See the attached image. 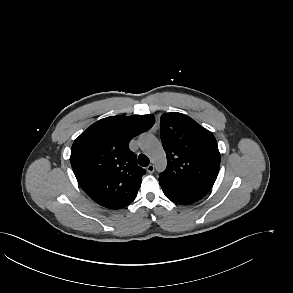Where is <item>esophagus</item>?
<instances>
[{
    "instance_id": "esophagus-1",
    "label": "esophagus",
    "mask_w": 293,
    "mask_h": 293,
    "mask_svg": "<svg viewBox=\"0 0 293 293\" xmlns=\"http://www.w3.org/2000/svg\"><path fill=\"white\" fill-rule=\"evenodd\" d=\"M146 170L149 174H152L155 170L154 165L150 164L146 167Z\"/></svg>"
}]
</instances>
